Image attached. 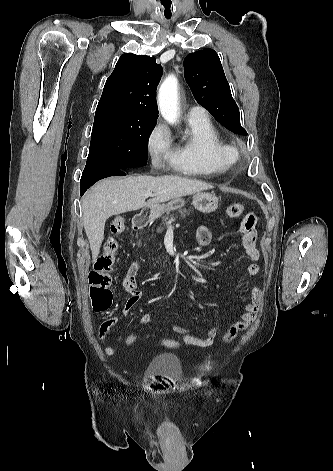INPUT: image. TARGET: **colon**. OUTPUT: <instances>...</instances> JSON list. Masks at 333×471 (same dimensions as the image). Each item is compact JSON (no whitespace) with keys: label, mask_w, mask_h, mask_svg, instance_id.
I'll list each match as a JSON object with an SVG mask.
<instances>
[{"label":"colon","mask_w":333,"mask_h":471,"mask_svg":"<svg viewBox=\"0 0 333 471\" xmlns=\"http://www.w3.org/2000/svg\"><path fill=\"white\" fill-rule=\"evenodd\" d=\"M243 205L234 203L226 209V214L230 218H235L243 213ZM111 236L104 243L102 254L97 258L93 270L89 273L90 299L95 311H106L112 305V283L111 272L114 266L115 257L119 249L117 236L124 230V219L115 217L111 223ZM138 342V336L128 335L124 344L133 347ZM163 347L177 349L182 346L180 340L165 338L160 341Z\"/></svg>","instance_id":"1"}]
</instances>
